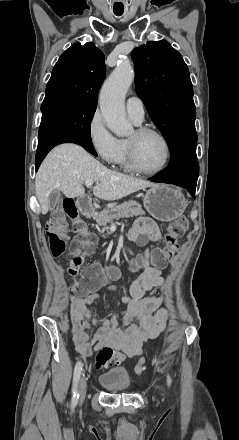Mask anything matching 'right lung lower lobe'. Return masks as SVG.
I'll return each mask as SVG.
<instances>
[{"label": "right lung lower lobe", "instance_id": "98d812e1", "mask_svg": "<svg viewBox=\"0 0 239 440\" xmlns=\"http://www.w3.org/2000/svg\"><path fill=\"white\" fill-rule=\"evenodd\" d=\"M66 142L79 144L83 146L88 152L97 156V153L92 145L90 136L73 131L53 133L39 140L38 148L36 152V158H35L36 170L39 168L41 162L43 161L47 153L54 146Z\"/></svg>", "mask_w": 239, "mask_h": 440}]
</instances>
